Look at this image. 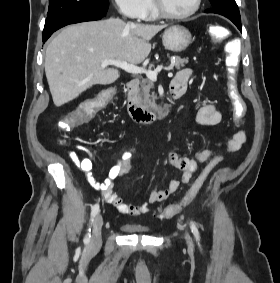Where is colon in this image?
I'll list each match as a JSON object with an SVG mask.
<instances>
[{"instance_id":"obj_1","label":"colon","mask_w":280,"mask_h":283,"mask_svg":"<svg viewBox=\"0 0 280 283\" xmlns=\"http://www.w3.org/2000/svg\"><path fill=\"white\" fill-rule=\"evenodd\" d=\"M209 34L214 42H220L230 35V30L222 25L209 26ZM242 43L240 37H229L226 47L225 65L228 73V88L234 107V120L241 122L246 113V104L238 94L235 86V71L238 65V55L242 54ZM113 88L109 87L108 91L102 93L99 97L85 103L79 110H70V114H64V119H73L72 122H59L60 132H74V127H80V124H89L90 120L96 119L97 112H103V107H98L110 99ZM218 158L211 160L197 179L192 183L181 202L164 208L157 217L161 220H167L177 215L195 198L207 179L210 171L217 164Z\"/></svg>"}]
</instances>
